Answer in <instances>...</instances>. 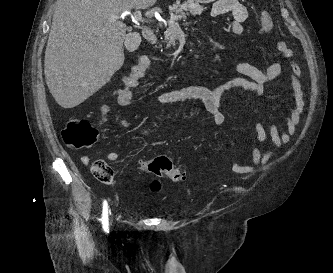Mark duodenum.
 Wrapping results in <instances>:
<instances>
[{
    "label": "duodenum",
    "mask_w": 333,
    "mask_h": 273,
    "mask_svg": "<svg viewBox=\"0 0 333 273\" xmlns=\"http://www.w3.org/2000/svg\"><path fill=\"white\" fill-rule=\"evenodd\" d=\"M142 35L144 39L148 42H155L156 41V35L153 29L146 28L142 31Z\"/></svg>",
    "instance_id": "duodenum-1"
}]
</instances>
